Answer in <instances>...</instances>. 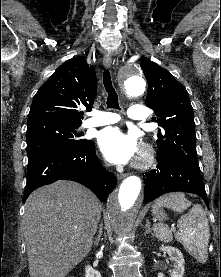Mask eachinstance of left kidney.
Masks as SVG:
<instances>
[{
    "mask_svg": "<svg viewBox=\"0 0 221 277\" xmlns=\"http://www.w3.org/2000/svg\"><path fill=\"white\" fill-rule=\"evenodd\" d=\"M160 250L166 252L174 261L171 277H183L185 261L182 252L172 246H162ZM158 277H164L163 273H159Z\"/></svg>",
    "mask_w": 221,
    "mask_h": 277,
    "instance_id": "obj_1",
    "label": "left kidney"
}]
</instances>
